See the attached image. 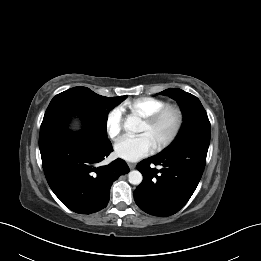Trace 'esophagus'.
<instances>
[{"label":"esophagus","instance_id":"34e87169","mask_svg":"<svg viewBox=\"0 0 261 261\" xmlns=\"http://www.w3.org/2000/svg\"><path fill=\"white\" fill-rule=\"evenodd\" d=\"M128 166L130 169H134L136 165L134 163H128Z\"/></svg>","mask_w":261,"mask_h":261}]
</instances>
